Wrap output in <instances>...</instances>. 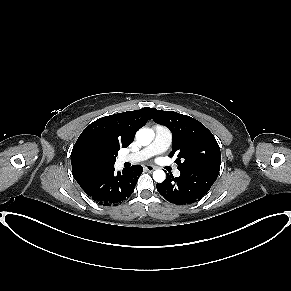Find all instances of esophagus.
<instances>
[{
	"instance_id": "34e87169",
	"label": "esophagus",
	"mask_w": 291,
	"mask_h": 291,
	"mask_svg": "<svg viewBox=\"0 0 291 291\" xmlns=\"http://www.w3.org/2000/svg\"><path fill=\"white\" fill-rule=\"evenodd\" d=\"M144 169L147 170V171H149V172H152L155 169H157V167L156 166H153V165H146V166H144Z\"/></svg>"
}]
</instances>
